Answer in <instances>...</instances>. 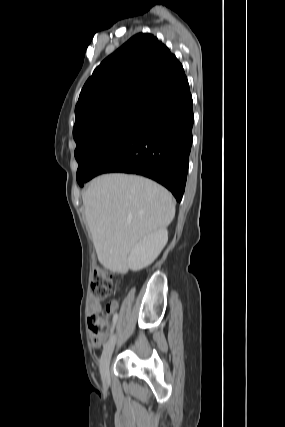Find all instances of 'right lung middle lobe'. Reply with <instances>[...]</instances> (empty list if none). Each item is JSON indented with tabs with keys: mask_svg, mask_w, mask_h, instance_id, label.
<instances>
[{
	"mask_svg": "<svg viewBox=\"0 0 285 427\" xmlns=\"http://www.w3.org/2000/svg\"><path fill=\"white\" fill-rule=\"evenodd\" d=\"M143 108L144 105L124 107L90 121L73 132L77 144L75 158L79 164V184L89 178L96 165L126 133Z\"/></svg>",
	"mask_w": 285,
	"mask_h": 427,
	"instance_id": "obj_1",
	"label": "right lung middle lobe"
}]
</instances>
